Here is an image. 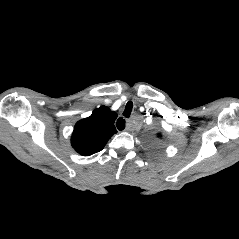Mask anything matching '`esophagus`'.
Masks as SVG:
<instances>
[{
  "label": "esophagus",
  "instance_id": "esophagus-1",
  "mask_svg": "<svg viewBox=\"0 0 239 239\" xmlns=\"http://www.w3.org/2000/svg\"><path fill=\"white\" fill-rule=\"evenodd\" d=\"M116 126H117L118 130H123L125 128V120L122 118H119L117 120Z\"/></svg>",
  "mask_w": 239,
  "mask_h": 239
}]
</instances>
